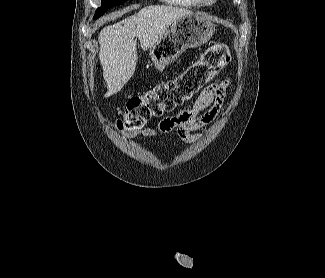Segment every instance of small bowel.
I'll list each match as a JSON object with an SVG mask.
<instances>
[{"mask_svg":"<svg viewBox=\"0 0 325 278\" xmlns=\"http://www.w3.org/2000/svg\"><path fill=\"white\" fill-rule=\"evenodd\" d=\"M227 88L228 81L212 83L202 90L190 108L177 115L166 117L159 123L157 129L128 130L123 136L161 137L176 134L184 143H194L201 138L200 134L194 132L210 124L220 113Z\"/></svg>","mask_w":325,"mask_h":278,"instance_id":"obj_1","label":"small bowel"}]
</instances>
